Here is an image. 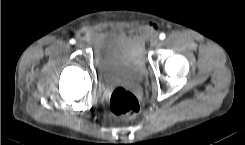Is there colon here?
Instances as JSON below:
<instances>
[{
    "label": "colon",
    "instance_id": "1",
    "mask_svg": "<svg viewBox=\"0 0 245 145\" xmlns=\"http://www.w3.org/2000/svg\"><path fill=\"white\" fill-rule=\"evenodd\" d=\"M109 107L114 115L131 118L140 111V102L130 90L118 85L111 91Z\"/></svg>",
    "mask_w": 245,
    "mask_h": 145
}]
</instances>
